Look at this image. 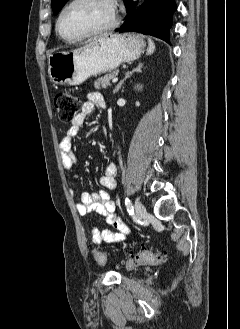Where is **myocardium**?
Returning <instances> with one entry per match:
<instances>
[{"label":"myocardium","mask_w":240,"mask_h":329,"mask_svg":"<svg viewBox=\"0 0 240 329\" xmlns=\"http://www.w3.org/2000/svg\"><path fill=\"white\" fill-rule=\"evenodd\" d=\"M81 0H71L68 4H66L60 11L57 21H56V31L59 34V36L67 41V42H77V41H81L93 36H98L101 34H105L108 33L112 30H114L120 21L119 15H118V11H117V6L115 3V0H106V2L111 6L112 10H113V20L111 21L110 24H108L107 26L100 28V29H96L93 30L91 32L85 33L83 35L77 36V37H67L66 35H64L61 31V20L65 14V12L71 8L73 5H75L76 3L80 2Z\"/></svg>","instance_id":"myocardium-1"}]
</instances>
